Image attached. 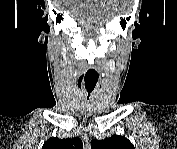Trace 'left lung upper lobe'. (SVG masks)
I'll return each mask as SVG.
<instances>
[{"instance_id": "left-lung-upper-lobe-1", "label": "left lung upper lobe", "mask_w": 177, "mask_h": 149, "mask_svg": "<svg viewBox=\"0 0 177 149\" xmlns=\"http://www.w3.org/2000/svg\"><path fill=\"white\" fill-rule=\"evenodd\" d=\"M92 149H134L131 142L123 136L113 135L104 140H92Z\"/></svg>"}]
</instances>
